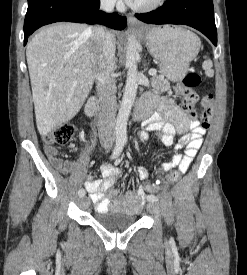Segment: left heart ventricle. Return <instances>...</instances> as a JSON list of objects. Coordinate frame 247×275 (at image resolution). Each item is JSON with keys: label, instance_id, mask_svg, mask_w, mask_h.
<instances>
[{"label": "left heart ventricle", "instance_id": "b2bd125f", "mask_svg": "<svg viewBox=\"0 0 247 275\" xmlns=\"http://www.w3.org/2000/svg\"><path fill=\"white\" fill-rule=\"evenodd\" d=\"M151 1L152 0H137L136 3H135V5L136 6H142V5L148 4Z\"/></svg>", "mask_w": 247, "mask_h": 275}]
</instances>
